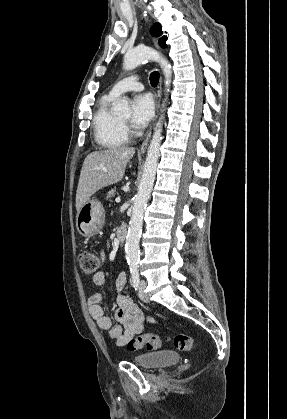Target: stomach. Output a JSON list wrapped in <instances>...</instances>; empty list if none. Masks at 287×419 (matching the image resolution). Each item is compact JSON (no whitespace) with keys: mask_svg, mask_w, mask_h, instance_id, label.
I'll return each instance as SVG.
<instances>
[{"mask_svg":"<svg viewBox=\"0 0 287 419\" xmlns=\"http://www.w3.org/2000/svg\"><path fill=\"white\" fill-rule=\"evenodd\" d=\"M104 208L97 199L89 198L78 211L76 226L84 237H92L101 230L104 224Z\"/></svg>","mask_w":287,"mask_h":419,"instance_id":"0dacf381","label":"stomach"}]
</instances>
